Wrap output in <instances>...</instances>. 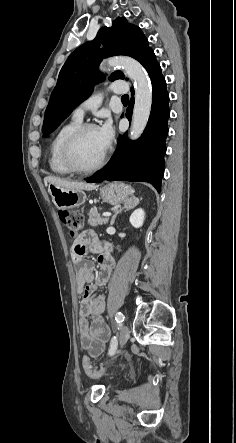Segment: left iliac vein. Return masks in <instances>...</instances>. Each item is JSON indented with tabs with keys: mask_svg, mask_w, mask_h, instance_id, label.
<instances>
[{
	"mask_svg": "<svg viewBox=\"0 0 236 443\" xmlns=\"http://www.w3.org/2000/svg\"><path fill=\"white\" fill-rule=\"evenodd\" d=\"M129 338V329L127 326H124L120 332L119 342L120 346H124Z\"/></svg>",
	"mask_w": 236,
	"mask_h": 443,
	"instance_id": "1",
	"label": "left iliac vein"
}]
</instances>
